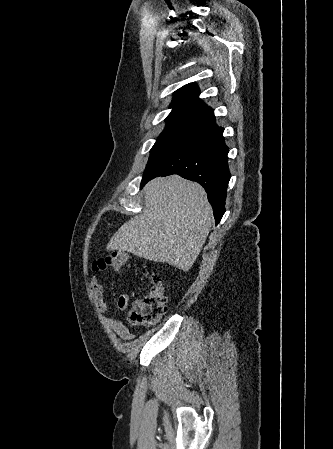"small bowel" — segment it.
<instances>
[{"mask_svg":"<svg viewBox=\"0 0 333 449\" xmlns=\"http://www.w3.org/2000/svg\"><path fill=\"white\" fill-rule=\"evenodd\" d=\"M90 288L92 291L93 299L96 305V308L101 313H106L109 305L104 298V287L102 281L98 275H94L90 280ZM135 300L133 304L136 302ZM129 296L127 294H121L117 300V308L119 310H126L129 306ZM106 321L112 326L116 334L122 338L123 340H131L133 338V334L129 331L126 325L118 318L110 316L105 317Z\"/></svg>","mask_w":333,"mask_h":449,"instance_id":"1","label":"small bowel"}]
</instances>
